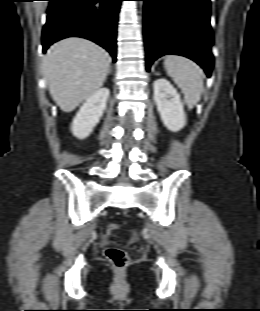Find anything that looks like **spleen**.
I'll list each match as a JSON object with an SVG mask.
<instances>
[{
    "instance_id": "obj_1",
    "label": "spleen",
    "mask_w": 260,
    "mask_h": 311,
    "mask_svg": "<svg viewBox=\"0 0 260 311\" xmlns=\"http://www.w3.org/2000/svg\"><path fill=\"white\" fill-rule=\"evenodd\" d=\"M164 65L167 73L173 78L184 94V101L192 109L200 100L203 91L202 69L192 60L168 55Z\"/></svg>"
}]
</instances>
